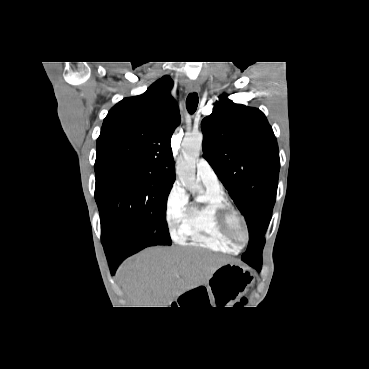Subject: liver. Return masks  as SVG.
<instances>
[{
    "label": "liver",
    "mask_w": 369,
    "mask_h": 369,
    "mask_svg": "<svg viewBox=\"0 0 369 369\" xmlns=\"http://www.w3.org/2000/svg\"><path fill=\"white\" fill-rule=\"evenodd\" d=\"M226 261L199 248L152 247L126 260L118 277L133 307H168L181 294L206 283Z\"/></svg>",
    "instance_id": "1"
}]
</instances>
